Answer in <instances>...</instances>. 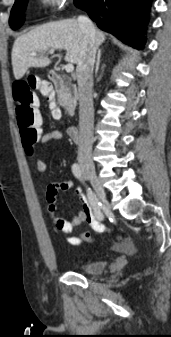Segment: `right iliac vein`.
<instances>
[{
    "instance_id": "1",
    "label": "right iliac vein",
    "mask_w": 171,
    "mask_h": 337,
    "mask_svg": "<svg viewBox=\"0 0 171 337\" xmlns=\"http://www.w3.org/2000/svg\"><path fill=\"white\" fill-rule=\"evenodd\" d=\"M83 170L84 173L86 175V177L90 180L96 195L98 197V199L103 203L104 206H108L107 201H106V195L104 192V189L102 187V185L100 184L98 177L96 175L95 172V168L93 166L87 165V164H83Z\"/></svg>"
}]
</instances>
